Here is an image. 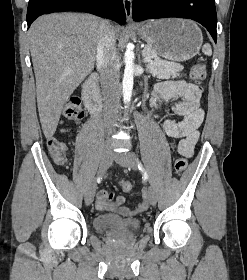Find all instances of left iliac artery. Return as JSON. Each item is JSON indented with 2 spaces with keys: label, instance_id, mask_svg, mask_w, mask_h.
<instances>
[{
  "label": "left iliac artery",
  "instance_id": "1",
  "mask_svg": "<svg viewBox=\"0 0 247 280\" xmlns=\"http://www.w3.org/2000/svg\"><path fill=\"white\" fill-rule=\"evenodd\" d=\"M138 168H139L140 171L143 172L144 178H145V179H148V174H147V172L145 171V169H144V167L142 166L141 163H138Z\"/></svg>",
  "mask_w": 247,
  "mask_h": 280
}]
</instances>
